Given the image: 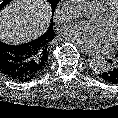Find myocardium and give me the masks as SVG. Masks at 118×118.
<instances>
[{
	"mask_svg": "<svg viewBox=\"0 0 118 118\" xmlns=\"http://www.w3.org/2000/svg\"><path fill=\"white\" fill-rule=\"evenodd\" d=\"M118 15V3L106 10L100 11V16L105 21H110ZM113 46L118 47V40L113 42Z\"/></svg>",
	"mask_w": 118,
	"mask_h": 118,
	"instance_id": "myocardium-1",
	"label": "myocardium"
}]
</instances>
